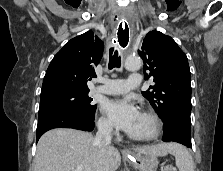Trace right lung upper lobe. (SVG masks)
I'll list each match as a JSON object with an SVG mask.
<instances>
[{
    "label": "right lung upper lobe",
    "mask_w": 223,
    "mask_h": 171,
    "mask_svg": "<svg viewBox=\"0 0 223 171\" xmlns=\"http://www.w3.org/2000/svg\"><path fill=\"white\" fill-rule=\"evenodd\" d=\"M103 42L88 31L68 41L54 56L44 77L41 98L69 91H89L87 80L96 77Z\"/></svg>",
    "instance_id": "right-lung-upper-lobe-1"
}]
</instances>
